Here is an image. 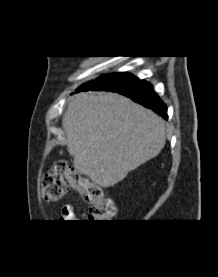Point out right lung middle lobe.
I'll return each mask as SVG.
<instances>
[{"instance_id": "1", "label": "right lung middle lobe", "mask_w": 218, "mask_h": 277, "mask_svg": "<svg viewBox=\"0 0 218 277\" xmlns=\"http://www.w3.org/2000/svg\"><path fill=\"white\" fill-rule=\"evenodd\" d=\"M98 79L101 82L102 90L109 91L130 87L138 81L137 77L128 73H112Z\"/></svg>"}]
</instances>
